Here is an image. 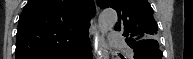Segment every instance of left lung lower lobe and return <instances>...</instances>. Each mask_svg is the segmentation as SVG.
Returning a JSON list of instances; mask_svg holds the SVG:
<instances>
[{
	"mask_svg": "<svg viewBox=\"0 0 193 59\" xmlns=\"http://www.w3.org/2000/svg\"><path fill=\"white\" fill-rule=\"evenodd\" d=\"M131 48L134 50V59H161L163 55L158 43L144 44L140 41Z\"/></svg>",
	"mask_w": 193,
	"mask_h": 59,
	"instance_id": "left-lung-lower-lobe-1",
	"label": "left lung lower lobe"
}]
</instances>
